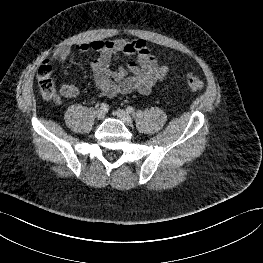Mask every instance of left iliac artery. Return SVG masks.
Here are the masks:
<instances>
[{"instance_id":"obj_1","label":"left iliac artery","mask_w":263,"mask_h":263,"mask_svg":"<svg viewBox=\"0 0 263 263\" xmlns=\"http://www.w3.org/2000/svg\"><path fill=\"white\" fill-rule=\"evenodd\" d=\"M126 111L130 114H134V108L131 106L127 107Z\"/></svg>"}]
</instances>
